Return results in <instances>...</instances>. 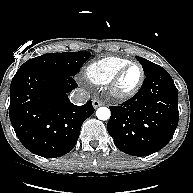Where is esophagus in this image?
Listing matches in <instances>:
<instances>
[{
	"label": "esophagus",
	"instance_id": "obj_1",
	"mask_svg": "<svg viewBox=\"0 0 193 193\" xmlns=\"http://www.w3.org/2000/svg\"><path fill=\"white\" fill-rule=\"evenodd\" d=\"M92 105H93L94 108H98V107L102 106L103 103L101 101L97 100V99H93L92 100Z\"/></svg>",
	"mask_w": 193,
	"mask_h": 193
}]
</instances>
